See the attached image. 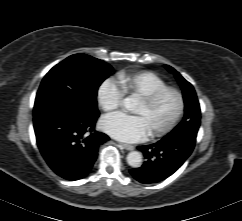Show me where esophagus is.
Masks as SVG:
<instances>
[{
    "label": "esophagus",
    "mask_w": 242,
    "mask_h": 221,
    "mask_svg": "<svg viewBox=\"0 0 242 221\" xmlns=\"http://www.w3.org/2000/svg\"><path fill=\"white\" fill-rule=\"evenodd\" d=\"M119 146L125 150L131 151L134 149V146L132 145H128V144H124V143H119Z\"/></svg>",
    "instance_id": "34e87169"
}]
</instances>
